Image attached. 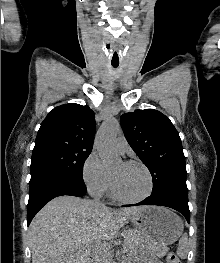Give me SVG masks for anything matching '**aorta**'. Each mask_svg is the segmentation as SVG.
I'll list each match as a JSON object with an SVG mask.
<instances>
[{
	"label": "aorta",
	"instance_id": "1",
	"mask_svg": "<svg viewBox=\"0 0 220 263\" xmlns=\"http://www.w3.org/2000/svg\"><path fill=\"white\" fill-rule=\"evenodd\" d=\"M119 129V122L110 118L103 123L97 134L96 147L102 160V164L107 169L111 168L120 160L114 153L113 148V141Z\"/></svg>",
	"mask_w": 220,
	"mask_h": 263
}]
</instances>
